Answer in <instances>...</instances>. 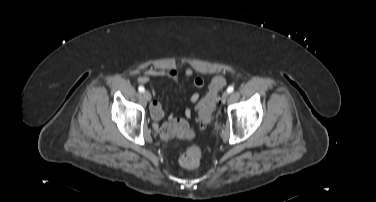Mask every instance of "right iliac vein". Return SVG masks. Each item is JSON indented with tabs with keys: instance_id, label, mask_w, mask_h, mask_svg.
Wrapping results in <instances>:
<instances>
[{
	"instance_id": "1",
	"label": "right iliac vein",
	"mask_w": 376,
	"mask_h": 202,
	"mask_svg": "<svg viewBox=\"0 0 376 202\" xmlns=\"http://www.w3.org/2000/svg\"><path fill=\"white\" fill-rule=\"evenodd\" d=\"M143 98H144L146 101H150V100H151V94H150V92H148V91H144V92H143Z\"/></svg>"
}]
</instances>
